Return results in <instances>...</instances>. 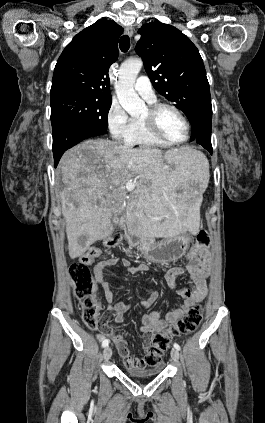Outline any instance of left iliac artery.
<instances>
[{"instance_id":"44dca946","label":"left iliac artery","mask_w":265,"mask_h":423,"mask_svg":"<svg viewBox=\"0 0 265 423\" xmlns=\"http://www.w3.org/2000/svg\"><path fill=\"white\" fill-rule=\"evenodd\" d=\"M174 348L177 349V350H180L181 349L180 346H179V344H177V343H174Z\"/></svg>"}]
</instances>
